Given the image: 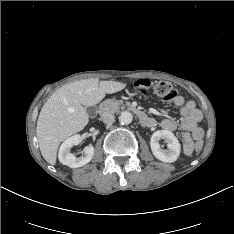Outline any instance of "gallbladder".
I'll list each match as a JSON object with an SVG mask.
<instances>
[{
    "label": "gallbladder",
    "mask_w": 234,
    "mask_h": 234,
    "mask_svg": "<svg viewBox=\"0 0 234 234\" xmlns=\"http://www.w3.org/2000/svg\"><path fill=\"white\" fill-rule=\"evenodd\" d=\"M86 111H87L89 116H93L96 113L95 107H87Z\"/></svg>",
    "instance_id": "bac80fb5"
}]
</instances>
